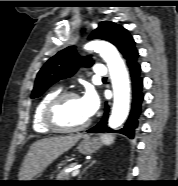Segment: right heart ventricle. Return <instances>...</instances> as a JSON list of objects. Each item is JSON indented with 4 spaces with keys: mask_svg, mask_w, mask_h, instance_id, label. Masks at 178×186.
<instances>
[{
    "mask_svg": "<svg viewBox=\"0 0 178 186\" xmlns=\"http://www.w3.org/2000/svg\"><path fill=\"white\" fill-rule=\"evenodd\" d=\"M59 93L60 89L52 90L44 97H42L40 101L36 104L32 115V127L35 132L40 134H49L52 132L44 125L42 121V113L46 104Z\"/></svg>",
    "mask_w": 178,
    "mask_h": 186,
    "instance_id": "obj_1",
    "label": "right heart ventricle"
}]
</instances>
